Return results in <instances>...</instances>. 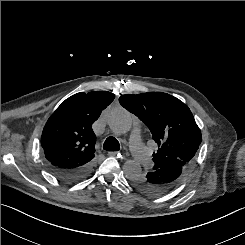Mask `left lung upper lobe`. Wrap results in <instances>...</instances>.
Here are the masks:
<instances>
[{
  "label": "left lung upper lobe",
  "instance_id": "1",
  "mask_svg": "<svg viewBox=\"0 0 245 245\" xmlns=\"http://www.w3.org/2000/svg\"><path fill=\"white\" fill-rule=\"evenodd\" d=\"M119 102L146 124L159 146L153 154L152 171L169 165L190 167L202 135L187 105L162 92L126 94Z\"/></svg>",
  "mask_w": 245,
  "mask_h": 245
}]
</instances>
